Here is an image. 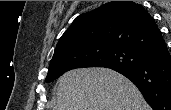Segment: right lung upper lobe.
<instances>
[{
  "label": "right lung upper lobe",
  "mask_w": 171,
  "mask_h": 110,
  "mask_svg": "<svg viewBox=\"0 0 171 110\" xmlns=\"http://www.w3.org/2000/svg\"><path fill=\"white\" fill-rule=\"evenodd\" d=\"M163 43L142 5L112 1L78 16L60 38L53 57L86 47H125L147 53Z\"/></svg>",
  "instance_id": "obj_1"
}]
</instances>
